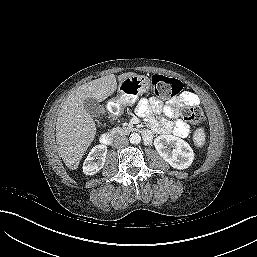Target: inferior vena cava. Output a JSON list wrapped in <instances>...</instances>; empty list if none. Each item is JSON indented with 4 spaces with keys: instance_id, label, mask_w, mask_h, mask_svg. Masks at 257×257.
I'll use <instances>...</instances> for the list:
<instances>
[{
    "instance_id": "602c4592",
    "label": "inferior vena cava",
    "mask_w": 257,
    "mask_h": 257,
    "mask_svg": "<svg viewBox=\"0 0 257 257\" xmlns=\"http://www.w3.org/2000/svg\"><path fill=\"white\" fill-rule=\"evenodd\" d=\"M129 143L128 138L126 136H119L114 140V146L116 148H123L127 146Z\"/></svg>"
}]
</instances>
